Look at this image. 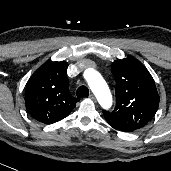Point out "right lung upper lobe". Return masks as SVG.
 Instances as JSON below:
<instances>
[{
	"label": "right lung upper lobe",
	"mask_w": 171,
	"mask_h": 171,
	"mask_svg": "<svg viewBox=\"0 0 171 171\" xmlns=\"http://www.w3.org/2000/svg\"><path fill=\"white\" fill-rule=\"evenodd\" d=\"M68 63L48 62L30 77L25 91L28 113L37 121L52 124L67 117L79 99L69 92Z\"/></svg>",
	"instance_id": "obj_1"
}]
</instances>
